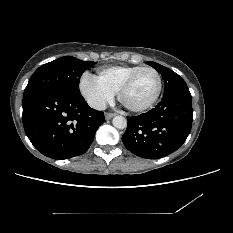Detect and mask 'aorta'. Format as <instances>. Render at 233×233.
I'll use <instances>...</instances> for the list:
<instances>
[{
  "label": "aorta",
  "mask_w": 233,
  "mask_h": 233,
  "mask_svg": "<svg viewBox=\"0 0 233 233\" xmlns=\"http://www.w3.org/2000/svg\"><path fill=\"white\" fill-rule=\"evenodd\" d=\"M113 126L118 129H124L127 126V120L123 116H115L112 120Z\"/></svg>",
  "instance_id": "762f6f07"
}]
</instances>
